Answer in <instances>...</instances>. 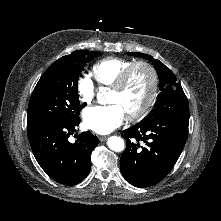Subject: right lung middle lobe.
Listing matches in <instances>:
<instances>
[{"mask_svg": "<svg viewBox=\"0 0 221 221\" xmlns=\"http://www.w3.org/2000/svg\"><path fill=\"white\" fill-rule=\"evenodd\" d=\"M77 50L55 61L36 84L28 105L27 125L55 119L78 120V79L85 64L99 56Z\"/></svg>", "mask_w": 221, "mask_h": 221, "instance_id": "obj_1", "label": "right lung middle lobe"}]
</instances>
